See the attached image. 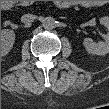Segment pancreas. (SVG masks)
I'll list each match as a JSON object with an SVG mask.
<instances>
[{"instance_id":"pancreas-1","label":"pancreas","mask_w":109,"mask_h":109,"mask_svg":"<svg viewBox=\"0 0 109 109\" xmlns=\"http://www.w3.org/2000/svg\"><path fill=\"white\" fill-rule=\"evenodd\" d=\"M21 5H29L31 4L30 2H20Z\"/></svg>"}]
</instances>
